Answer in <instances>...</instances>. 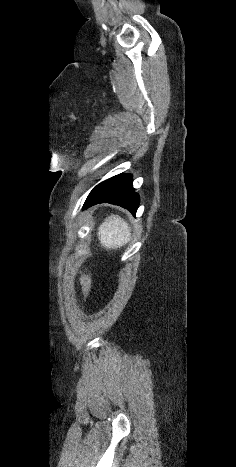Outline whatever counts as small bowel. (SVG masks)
I'll use <instances>...</instances> for the list:
<instances>
[{
  "label": "small bowel",
  "instance_id": "obj_1",
  "mask_svg": "<svg viewBox=\"0 0 236 467\" xmlns=\"http://www.w3.org/2000/svg\"><path fill=\"white\" fill-rule=\"evenodd\" d=\"M81 287H82V292L85 296H88L91 292L92 288V278L88 274L82 275L81 279Z\"/></svg>",
  "mask_w": 236,
  "mask_h": 467
}]
</instances>
